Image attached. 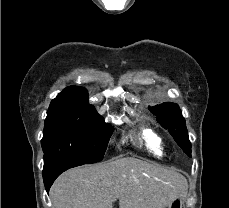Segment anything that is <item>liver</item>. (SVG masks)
Listing matches in <instances>:
<instances>
[{"label":"liver","instance_id":"obj_1","mask_svg":"<svg viewBox=\"0 0 229 208\" xmlns=\"http://www.w3.org/2000/svg\"><path fill=\"white\" fill-rule=\"evenodd\" d=\"M182 174L159 164L121 158L79 166L61 174L50 196L53 208H166L175 194H187Z\"/></svg>","mask_w":229,"mask_h":208}]
</instances>
